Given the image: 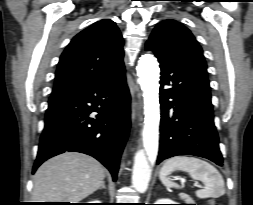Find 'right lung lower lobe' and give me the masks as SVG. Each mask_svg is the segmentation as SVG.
<instances>
[{"label":"right lung lower lobe","instance_id":"obj_1","mask_svg":"<svg viewBox=\"0 0 253 205\" xmlns=\"http://www.w3.org/2000/svg\"><path fill=\"white\" fill-rule=\"evenodd\" d=\"M129 128L125 69L97 83L53 93L33 173L47 159L75 151L99 160L116 181Z\"/></svg>","mask_w":253,"mask_h":205}]
</instances>
